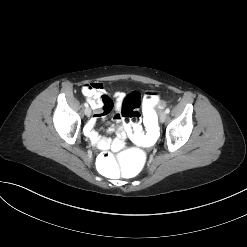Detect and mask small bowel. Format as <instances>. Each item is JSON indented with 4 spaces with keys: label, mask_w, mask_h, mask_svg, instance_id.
<instances>
[{
    "label": "small bowel",
    "mask_w": 247,
    "mask_h": 247,
    "mask_svg": "<svg viewBox=\"0 0 247 247\" xmlns=\"http://www.w3.org/2000/svg\"><path fill=\"white\" fill-rule=\"evenodd\" d=\"M82 93L95 111L93 118L85 126V133L87 137L91 140L93 145L101 150H121L125 146L128 130H126L124 127H121L118 131L117 137L113 140H110L103 137L97 130H95V125L98 120L104 119L111 112L113 106H115L116 110L113 118L116 120L121 118V107L124 100V94L122 92L115 93L116 102L114 105L103 85L98 82L85 84L82 87ZM113 131L114 128L110 127L109 132Z\"/></svg>",
    "instance_id": "obj_1"
}]
</instances>
